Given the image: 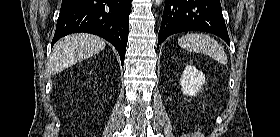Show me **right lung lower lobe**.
Wrapping results in <instances>:
<instances>
[{"mask_svg": "<svg viewBox=\"0 0 280 137\" xmlns=\"http://www.w3.org/2000/svg\"><path fill=\"white\" fill-rule=\"evenodd\" d=\"M132 0H62L52 45L63 36L85 32L109 41L124 64Z\"/></svg>", "mask_w": 280, "mask_h": 137, "instance_id": "obj_1", "label": "right lung lower lobe"}]
</instances>
